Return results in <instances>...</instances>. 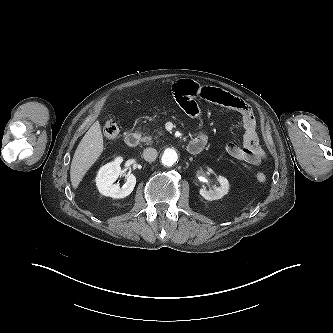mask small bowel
I'll use <instances>...</instances> for the list:
<instances>
[{
	"instance_id": "c3829d8e",
	"label": "small bowel",
	"mask_w": 333,
	"mask_h": 333,
	"mask_svg": "<svg viewBox=\"0 0 333 333\" xmlns=\"http://www.w3.org/2000/svg\"><path fill=\"white\" fill-rule=\"evenodd\" d=\"M173 94L181 107L192 117H199L200 110L197 98L226 107L240 114L244 136L241 145L230 142L226 146L227 153L250 165H259L265 158V152L259 144L256 119L252 108L242 99L216 87L200 85L190 80H180L173 86ZM194 140L207 142L205 131L199 132Z\"/></svg>"
}]
</instances>
